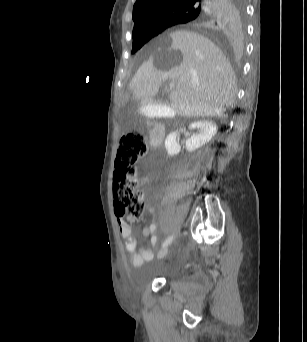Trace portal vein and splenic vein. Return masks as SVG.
<instances>
[{
	"instance_id": "1",
	"label": "portal vein and splenic vein",
	"mask_w": 307,
	"mask_h": 342,
	"mask_svg": "<svg viewBox=\"0 0 307 342\" xmlns=\"http://www.w3.org/2000/svg\"><path fill=\"white\" fill-rule=\"evenodd\" d=\"M176 84L175 82H171V84H169V88H175Z\"/></svg>"
}]
</instances>
